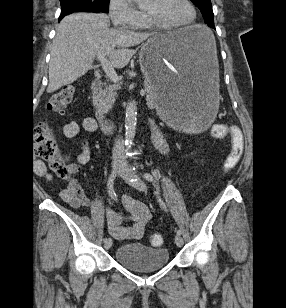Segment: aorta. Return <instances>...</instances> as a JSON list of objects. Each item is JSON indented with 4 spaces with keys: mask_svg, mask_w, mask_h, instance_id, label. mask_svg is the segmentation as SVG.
I'll return each mask as SVG.
<instances>
[{
    "mask_svg": "<svg viewBox=\"0 0 286 308\" xmlns=\"http://www.w3.org/2000/svg\"><path fill=\"white\" fill-rule=\"evenodd\" d=\"M137 2H144L145 0H134ZM137 122V107L134 101L127 104L125 111V144L131 145L135 137Z\"/></svg>",
    "mask_w": 286,
    "mask_h": 308,
    "instance_id": "762f6f07",
    "label": "aorta"
}]
</instances>
